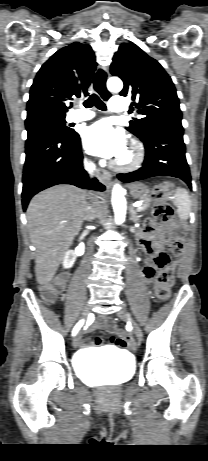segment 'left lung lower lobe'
I'll return each instance as SVG.
<instances>
[{
    "label": "left lung lower lobe",
    "instance_id": "obj_1",
    "mask_svg": "<svg viewBox=\"0 0 208 461\" xmlns=\"http://www.w3.org/2000/svg\"><path fill=\"white\" fill-rule=\"evenodd\" d=\"M142 141L145 146L143 166L134 172L118 174L122 182L129 183L154 176H172L183 180L192 188L182 127H157Z\"/></svg>",
    "mask_w": 208,
    "mask_h": 461
}]
</instances>
